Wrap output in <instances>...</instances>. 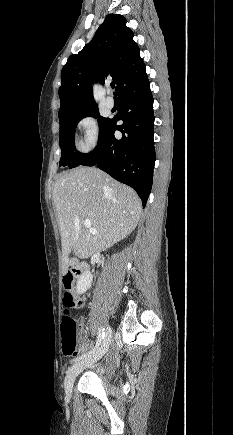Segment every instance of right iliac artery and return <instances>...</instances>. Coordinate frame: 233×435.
I'll return each instance as SVG.
<instances>
[{"label": "right iliac artery", "mask_w": 233, "mask_h": 435, "mask_svg": "<svg viewBox=\"0 0 233 435\" xmlns=\"http://www.w3.org/2000/svg\"><path fill=\"white\" fill-rule=\"evenodd\" d=\"M104 336H105V329H104V328H101V329L99 330L98 337H97V341H96V345H95L94 349L91 350V351H89V352H87V353H85V354H83V355L80 356V357L75 358V359L73 360V362H76V361H78V360H80V359H82V358H85L86 356H89V355L93 354V353L95 352V350L98 349V347H99L100 344L102 343V341H103V339H104Z\"/></svg>", "instance_id": "obj_1"}]
</instances>
